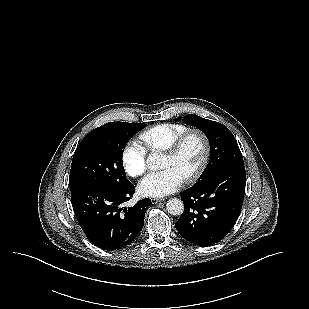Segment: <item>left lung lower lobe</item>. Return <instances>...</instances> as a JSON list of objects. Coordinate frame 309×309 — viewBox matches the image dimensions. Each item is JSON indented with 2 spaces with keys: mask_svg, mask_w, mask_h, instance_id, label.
Wrapping results in <instances>:
<instances>
[{
  "mask_svg": "<svg viewBox=\"0 0 309 309\" xmlns=\"http://www.w3.org/2000/svg\"><path fill=\"white\" fill-rule=\"evenodd\" d=\"M245 184L242 164L221 169L181 192L184 212L175 224L177 231L197 246L221 241L239 217Z\"/></svg>",
  "mask_w": 309,
  "mask_h": 309,
  "instance_id": "obj_1",
  "label": "left lung lower lobe"
}]
</instances>
